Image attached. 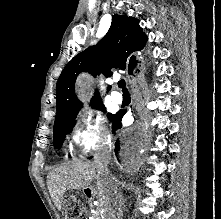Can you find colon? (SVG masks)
<instances>
[{
	"label": "colon",
	"mask_w": 221,
	"mask_h": 219,
	"mask_svg": "<svg viewBox=\"0 0 221 219\" xmlns=\"http://www.w3.org/2000/svg\"><path fill=\"white\" fill-rule=\"evenodd\" d=\"M65 207L68 219H79L82 216V208L74 197L65 200Z\"/></svg>",
	"instance_id": "obj_1"
}]
</instances>
